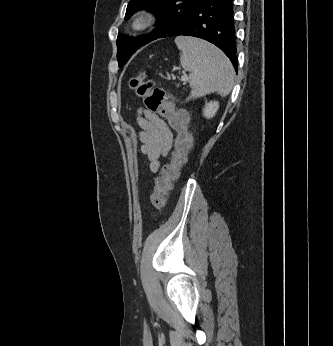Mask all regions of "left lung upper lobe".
Wrapping results in <instances>:
<instances>
[{"instance_id": "left-lung-upper-lobe-1", "label": "left lung upper lobe", "mask_w": 333, "mask_h": 346, "mask_svg": "<svg viewBox=\"0 0 333 346\" xmlns=\"http://www.w3.org/2000/svg\"><path fill=\"white\" fill-rule=\"evenodd\" d=\"M201 0H130L127 6L125 19L142 9H148L157 14L156 28L149 34L130 38L118 34L117 59L119 66H123L131 55L141 46L160 38L169 28L174 26L188 15Z\"/></svg>"}]
</instances>
